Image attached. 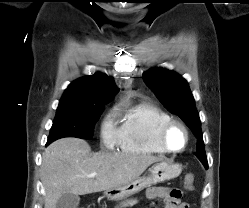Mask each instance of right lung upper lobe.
Wrapping results in <instances>:
<instances>
[{"instance_id":"1","label":"right lung upper lobe","mask_w":249,"mask_h":208,"mask_svg":"<svg viewBox=\"0 0 249 208\" xmlns=\"http://www.w3.org/2000/svg\"><path fill=\"white\" fill-rule=\"evenodd\" d=\"M119 89L112 77L97 73L73 81L65 90L59 106L95 105L105 106Z\"/></svg>"}]
</instances>
